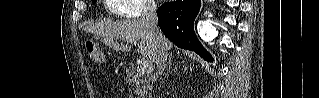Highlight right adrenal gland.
Masks as SVG:
<instances>
[{
	"mask_svg": "<svg viewBox=\"0 0 319 98\" xmlns=\"http://www.w3.org/2000/svg\"><path fill=\"white\" fill-rule=\"evenodd\" d=\"M171 66H172V54H170V56H169L168 69H167V72L165 74V78L168 76L169 72L171 71Z\"/></svg>",
	"mask_w": 319,
	"mask_h": 98,
	"instance_id": "right-adrenal-gland-1",
	"label": "right adrenal gland"
}]
</instances>
